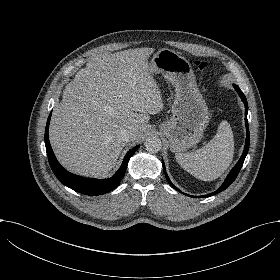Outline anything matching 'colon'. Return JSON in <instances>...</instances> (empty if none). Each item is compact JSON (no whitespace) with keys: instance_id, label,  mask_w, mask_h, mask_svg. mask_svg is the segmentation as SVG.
<instances>
[{"instance_id":"5ec220e1","label":"colon","mask_w":280,"mask_h":280,"mask_svg":"<svg viewBox=\"0 0 280 280\" xmlns=\"http://www.w3.org/2000/svg\"><path fill=\"white\" fill-rule=\"evenodd\" d=\"M195 67H196L199 71H203V70L207 69L208 64H207L206 62L196 61V62H195Z\"/></svg>"}]
</instances>
